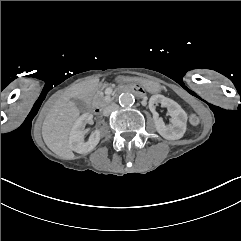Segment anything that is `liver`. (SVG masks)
I'll list each match as a JSON object with an SVG mask.
<instances>
[{
  "mask_svg": "<svg viewBox=\"0 0 241 241\" xmlns=\"http://www.w3.org/2000/svg\"><path fill=\"white\" fill-rule=\"evenodd\" d=\"M99 78L82 81L58 98L51 106L42 127L43 139L55 154L74 159L69 145V135L75 121L80 116L78 105L72 99L84 100L91 96L99 85Z\"/></svg>",
  "mask_w": 241,
  "mask_h": 241,
  "instance_id": "obj_1",
  "label": "liver"
}]
</instances>
